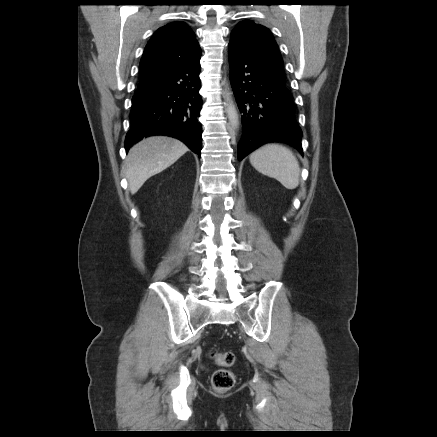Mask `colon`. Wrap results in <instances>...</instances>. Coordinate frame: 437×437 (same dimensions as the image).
I'll use <instances>...</instances> for the list:
<instances>
[{"instance_id":"5ec220e1","label":"colon","mask_w":437,"mask_h":437,"mask_svg":"<svg viewBox=\"0 0 437 437\" xmlns=\"http://www.w3.org/2000/svg\"><path fill=\"white\" fill-rule=\"evenodd\" d=\"M209 356L222 368L212 375V386L217 392L229 391L235 384V374L229 368L235 364L236 358L232 352H219L211 349Z\"/></svg>"}]
</instances>
